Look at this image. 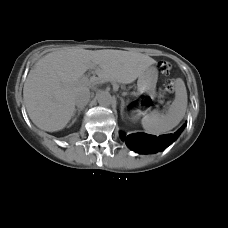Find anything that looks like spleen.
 I'll return each instance as SVG.
<instances>
[{
	"label": "spleen",
	"instance_id": "obj_1",
	"mask_svg": "<svg viewBox=\"0 0 228 228\" xmlns=\"http://www.w3.org/2000/svg\"><path fill=\"white\" fill-rule=\"evenodd\" d=\"M187 91L183 81L176 83L175 99L165 113L157 110L145 115L142 126L149 134L158 135L176 127L183 119L187 108Z\"/></svg>",
	"mask_w": 228,
	"mask_h": 228
}]
</instances>
